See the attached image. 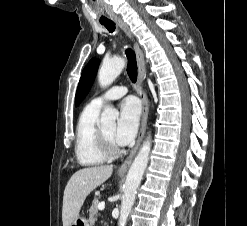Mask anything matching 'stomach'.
Masks as SVG:
<instances>
[{
	"label": "stomach",
	"instance_id": "0dacf381",
	"mask_svg": "<svg viewBox=\"0 0 247 226\" xmlns=\"http://www.w3.org/2000/svg\"><path fill=\"white\" fill-rule=\"evenodd\" d=\"M70 226H90L89 222L84 217H77Z\"/></svg>",
	"mask_w": 247,
	"mask_h": 226
}]
</instances>
